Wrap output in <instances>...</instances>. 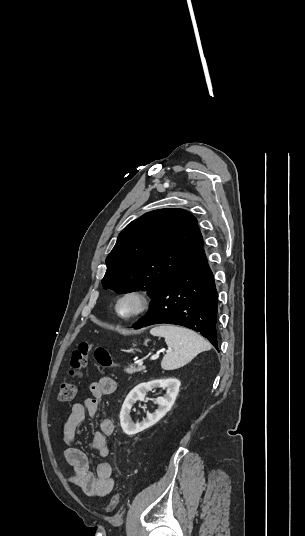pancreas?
<instances>
[{
    "label": "pancreas",
    "instance_id": "cf45deb5",
    "mask_svg": "<svg viewBox=\"0 0 305 536\" xmlns=\"http://www.w3.org/2000/svg\"><path fill=\"white\" fill-rule=\"evenodd\" d=\"M142 370H144L143 366H138V368H135L133 364H130L128 368H124V372H126V374H135V372H142Z\"/></svg>",
    "mask_w": 305,
    "mask_h": 536
}]
</instances>
